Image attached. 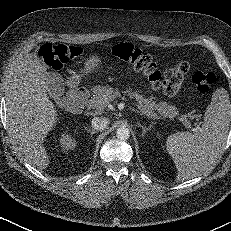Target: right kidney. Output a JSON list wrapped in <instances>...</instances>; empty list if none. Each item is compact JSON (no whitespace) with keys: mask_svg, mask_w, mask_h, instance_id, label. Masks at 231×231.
I'll list each match as a JSON object with an SVG mask.
<instances>
[{"mask_svg":"<svg viewBox=\"0 0 231 231\" xmlns=\"http://www.w3.org/2000/svg\"><path fill=\"white\" fill-rule=\"evenodd\" d=\"M60 143L63 150L64 149L69 150L76 146V140L69 135H62V138L60 139Z\"/></svg>","mask_w":231,"mask_h":231,"instance_id":"ca27d5eb","label":"right kidney"}]
</instances>
